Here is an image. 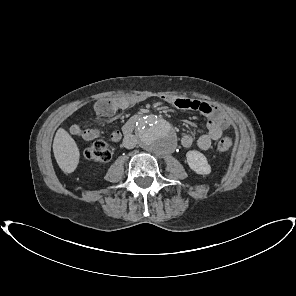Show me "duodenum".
<instances>
[{
	"instance_id": "obj_1",
	"label": "duodenum",
	"mask_w": 296,
	"mask_h": 296,
	"mask_svg": "<svg viewBox=\"0 0 296 296\" xmlns=\"http://www.w3.org/2000/svg\"><path fill=\"white\" fill-rule=\"evenodd\" d=\"M147 112L142 111L139 112L138 114L134 115L133 117H131L123 126L122 130H123V134L124 135H129L135 128V123L138 120V118L142 117L143 115H145Z\"/></svg>"
}]
</instances>
